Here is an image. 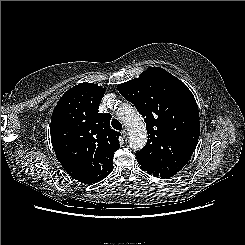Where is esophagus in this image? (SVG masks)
<instances>
[{
  "label": "esophagus",
  "instance_id": "esophagus-1",
  "mask_svg": "<svg viewBox=\"0 0 245 245\" xmlns=\"http://www.w3.org/2000/svg\"><path fill=\"white\" fill-rule=\"evenodd\" d=\"M121 133H122L124 138H126L128 136V132H127V130L125 128L122 130Z\"/></svg>",
  "mask_w": 245,
  "mask_h": 245
}]
</instances>
